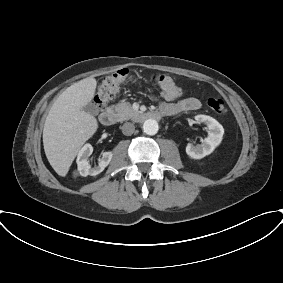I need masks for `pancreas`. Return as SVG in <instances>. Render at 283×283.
<instances>
[{
	"mask_svg": "<svg viewBox=\"0 0 283 283\" xmlns=\"http://www.w3.org/2000/svg\"><path fill=\"white\" fill-rule=\"evenodd\" d=\"M111 108L116 113L119 121L129 120L138 113L132 108L129 102H121L117 105H113Z\"/></svg>",
	"mask_w": 283,
	"mask_h": 283,
	"instance_id": "pancreas-1",
	"label": "pancreas"
}]
</instances>
